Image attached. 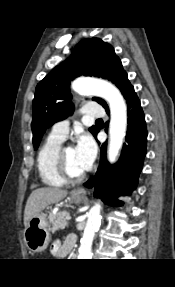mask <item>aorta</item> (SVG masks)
Listing matches in <instances>:
<instances>
[{
  "mask_svg": "<svg viewBox=\"0 0 175 287\" xmlns=\"http://www.w3.org/2000/svg\"><path fill=\"white\" fill-rule=\"evenodd\" d=\"M72 89L80 94L97 95L105 99L110 107L108 159L114 162L123 145L127 127V107L120 91L111 83L91 79H77ZM101 206L95 204L88 214V219L81 239L78 259H91L92 241L101 223Z\"/></svg>",
  "mask_w": 175,
  "mask_h": 287,
  "instance_id": "1",
  "label": "aorta"
}]
</instances>
